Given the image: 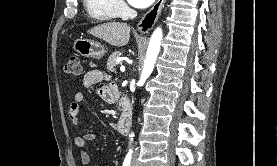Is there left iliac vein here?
Listing matches in <instances>:
<instances>
[{
    "label": "left iliac vein",
    "mask_w": 277,
    "mask_h": 166,
    "mask_svg": "<svg viewBox=\"0 0 277 166\" xmlns=\"http://www.w3.org/2000/svg\"><path fill=\"white\" fill-rule=\"evenodd\" d=\"M131 166H136V164H135V162H134V161L132 162Z\"/></svg>",
    "instance_id": "left-iliac-vein-1"
}]
</instances>
